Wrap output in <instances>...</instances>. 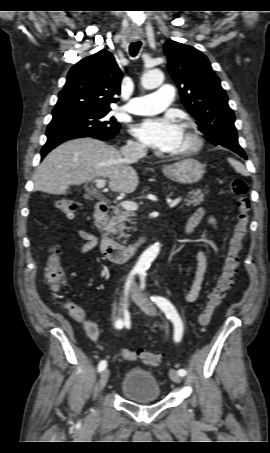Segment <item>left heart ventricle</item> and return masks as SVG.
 Masks as SVG:
<instances>
[{
    "label": "left heart ventricle",
    "mask_w": 270,
    "mask_h": 453,
    "mask_svg": "<svg viewBox=\"0 0 270 453\" xmlns=\"http://www.w3.org/2000/svg\"><path fill=\"white\" fill-rule=\"evenodd\" d=\"M191 144V138L189 136V132L186 128L179 126V133L178 137L173 145V147L168 150L169 153H174L186 149Z\"/></svg>",
    "instance_id": "obj_1"
}]
</instances>
